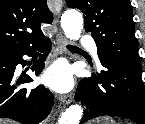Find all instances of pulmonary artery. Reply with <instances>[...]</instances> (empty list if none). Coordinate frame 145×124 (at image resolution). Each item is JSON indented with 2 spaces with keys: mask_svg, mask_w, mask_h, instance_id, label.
<instances>
[{
  "mask_svg": "<svg viewBox=\"0 0 145 124\" xmlns=\"http://www.w3.org/2000/svg\"><path fill=\"white\" fill-rule=\"evenodd\" d=\"M81 45L83 47H86L90 50V52L93 54V56L98 60L97 55V47L92 41V37L90 35H84L81 39Z\"/></svg>",
  "mask_w": 145,
  "mask_h": 124,
  "instance_id": "1",
  "label": "pulmonary artery"
}]
</instances>
